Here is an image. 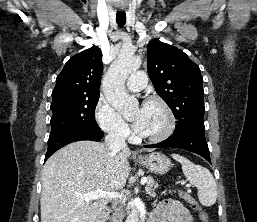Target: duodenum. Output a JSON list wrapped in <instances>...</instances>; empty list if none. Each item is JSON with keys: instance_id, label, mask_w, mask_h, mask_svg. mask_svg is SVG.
<instances>
[{"instance_id": "obj_1", "label": "duodenum", "mask_w": 257, "mask_h": 222, "mask_svg": "<svg viewBox=\"0 0 257 222\" xmlns=\"http://www.w3.org/2000/svg\"><path fill=\"white\" fill-rule=\"evenodd\" d=\"M109 211V207H106L94 222H107Z\"/></svg>"}]
</instances>
